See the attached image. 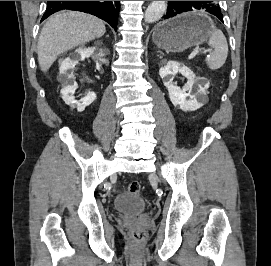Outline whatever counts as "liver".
<instances>
[{
    "instance_id": "1",
    "label": "liver",
    "mask_w": 271,
    "mask_h": 266,
    "mask_svg": "<svg viewBox=\"0 0 271 266\" xmlns=\"http://www.w3.org/2000/svg\"><path fill=\"white\" fill-rule=\"evenodd\" d=\"M102 20L83 12L66 11L51 16L44 24L37 45L38 62L46 72L67 50L102 37Z\"/></svg>"
}]
</instances>
